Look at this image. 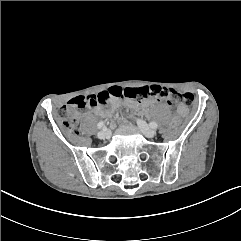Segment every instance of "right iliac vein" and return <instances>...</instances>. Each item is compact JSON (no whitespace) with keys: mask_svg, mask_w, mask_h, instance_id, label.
I'll return each mask as SVG.
<instances>
[{"mask_svg":"<svg viewBox=\"0 0 241 241\" xmlns=\"http://www.w3.org/2000/svg\"><path fill=\"white\" fill-rule=\"evenodd\" d=\"M98 138L99 139H106L109 137V131L107 129H104L102 131H100L98 134H97Z\"/></svg>","mask_w":241,"mask_h":241,"instance_id":"63e3f726","label":"right iliac vein"}]
</instances>
